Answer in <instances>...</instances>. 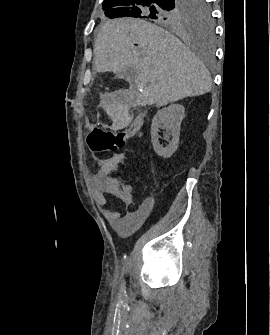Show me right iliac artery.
I'll return each mask as SVG.
<instances>
[{
	"mask_svg": "<svg viewBox=\"0 0 270 335\" xmlns=\"http://www.w3.org/2000/svg\"><path fill=\"white\" fill-rule=\"evenodd\" d=\"M122 291L125 290V286H124V283L122 284V287H121Z\"/></svg>",
	"mask_w": 270,
	"mask_h": 335,
	"instance_id": "82829eb1",
	"label": "right iliac artery"
}]
</instances>
